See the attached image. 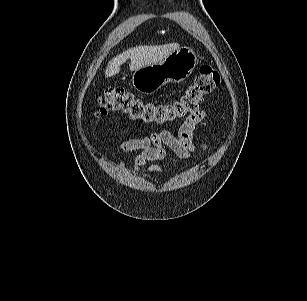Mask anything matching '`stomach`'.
<instances>
[{
	"mask_svg": "<svg viewBox=\"0 0 307 301\" xmlns=\"http://www.w3.org/2000/svg\"><path fill=\"white\" fill-rule=\"evenodd\" d=\"M198 56L188 47H180L157 64L144 66L133 73V87L140 93L152 94L167 83H180L191 75Z\"/></svg>",
	"mask_w": 307,
	"mask_h": 301,
	"instance_id": "0dacf381",
	"label": "stomach"
}]
</instances>
